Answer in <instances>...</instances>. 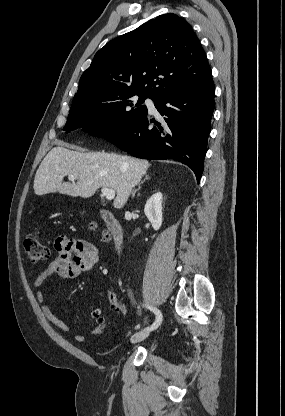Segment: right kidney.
<instances>
[{
    "label": "right kidney",
    "instance_id": "1",
    "mask_svg": "<svg viewBox=\"0 0 285 416\" xmlns=\"http://www.w3.org/2000/svg\"><path fill=\"white\" fill-rule=\"evenodd\" d=\"M144 212L152 224L153 230H159L162 224V194L156 192L147 200Z\"/></svg>",
    "mask_w": 285,
    "mask_h": 416
}]
</instances>
